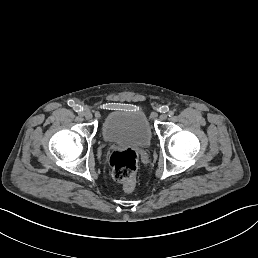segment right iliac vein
Returning a JSON list of instances; mask_svg holds the SVG:
<instances>
[{
    "mask_svg": "<svg viewBox=\"0 0 258 258\" xmlns=\"http://www.w3.org/2000/svg\"><path fill=\"white\" fill-rule=\"evenodd\" d=\"M84 117H85V119L88 120V121L91 120L92 117H93L92 114H91V111H90V110H85V111H84Z\"/></svg>",
    "mask_w": 258,
    "mask_h": 258,
    "instance_id": "63e3f726",
    "label": "right iliac vein"
}]
</instances>
